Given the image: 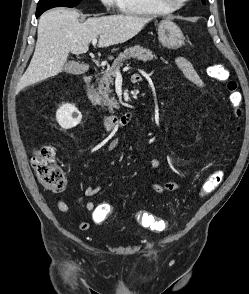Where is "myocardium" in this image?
<instances>
[{
  "instance_id": "myocardium-1",
  "label": "myocardium",
  "mask_w": 249,
  "mask_h": 294,
  "mask_svg": "<svg viewBox=\"0 0 249 294\" xmlns=\"http://www.w3.org/2000/svg\"><path fill=\"white\" fill-rule=\"evenodd\" d=\"M157 1L162 6L168 7L172 10H177L181 8L182 6H184L189 0H183L178 3H173L172 0H157Z\"/></svg>"
}]
</instances>
